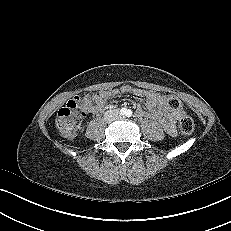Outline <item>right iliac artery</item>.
I'll use <instances>...</instances> for the list:
<instances>
[{"instance_id":"1","label":"right iliac artery","mask_w":231,"mask_h":231,"mask_svg":"<svg viewBox=\"0 0 231 231\" xmlns=\"http://www.w3.org/2000/svg\"><path fill=\"white\" fill-rule=\"evenodd\" d=\"M126 111H127V110H126L125 108H122V109L120 110V114H121V115H125V114H126Z\"/></svg>"}]
</instances>
